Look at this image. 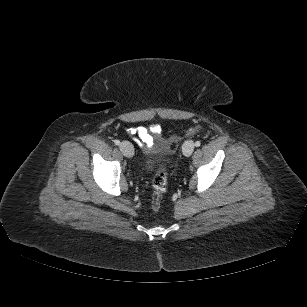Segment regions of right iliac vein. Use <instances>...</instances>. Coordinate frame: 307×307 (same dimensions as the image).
<instances>
[{
	"instance_id": "1",
	"label": "right iliac vein",
	"mask_w": 307,
	"mask_h": 307,
	"mask_svg": "<svg viewBox=\"0 0 307 307\" xmlns=\"http://www.w3.org/2000/svg\"><path fill=\"white\" fill-rule=\"evenodd\" d=\"M120 151L126 157H132L134 154V148L131 143L124 141L120 144Z\"/></svg>"
}]
</instances>
